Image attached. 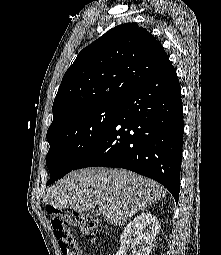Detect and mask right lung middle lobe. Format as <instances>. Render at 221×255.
<instances>
[{
  "instance_id": "obj_1",
  "label": "right lung middle lobe",
  "mask_w": 221,
  "mask_h": 255,
  "mask_svg": "<svg viewBox=\"0 0 221 255\" xmlns=\"http://www.w3.org/2000/svg\"><path fill=\"white\" fill-rule=\"evenodd\" d=\"M120 103H104L79 110L47 131L50 149L46 165L47 185L69 173L101 137L113 120Z\"/></svg>"
}]
</instances>
